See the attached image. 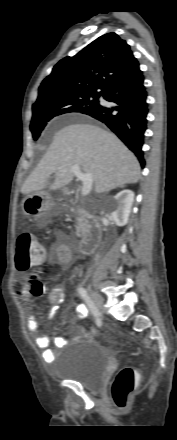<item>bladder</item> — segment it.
Masks as SVG:
<instances>
[{
    "mask_svg": "<svg viewBox=\"0 0 177 440\" xmlns=\"http://www.w3.org/2000/svg\"><path fill=\"white\" fill-rule=\"evenodd\" d=\"M68 348L69 352L60 359L55 375L75 381L87 390H99L109 368L107 352L94 339L78 340Z\"/></svg>",
    "mask_w": 177,
    "mask_h": 440,
    "instance_id": "31cf9c89",
    "label": "bladder"
}]
</instances>
